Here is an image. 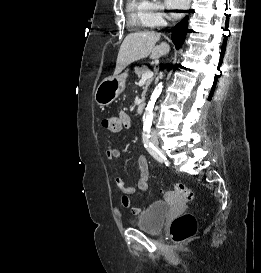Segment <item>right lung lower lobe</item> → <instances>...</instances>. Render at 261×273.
Listing matches in <instances>:
<instances>
[{"mask_svg": "<svg viewBox=\"0 0 261 273\" xmlns=\"http://www.w3.org/2000/svg\"><path fill=\"white\" fill-rule=\"evenodd\" d=\"M187 24L188 16L179 22L172 31V41L175 44L176 49H179L182 46L186 33L189 32L187 29Z\"/></svg>", "mask_w": 261, "mask_h": 273, "instance_id": "obj_1", "label": "right lung lower lobe"}]
</instances>
